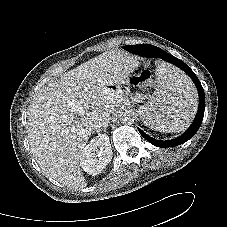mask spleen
I'll use <instances>...</instances> for the list:
<instances>
[{"label":"spleen","instance_id":"3e777b00","mask_svg":"<svg viewBox=\"0 0 227 227\" xmlns=\"http://www.w3.org/2000/svg\"><path fill=\"white\" fill-rule=\"evenodd\" d=\"M157 91L139 109L144 124L162 132H180L189 126L197 110V94L178 69L161 64L156 70Z\"/></svg>","mask_w":227,"mask_h":227}]
</instances>
